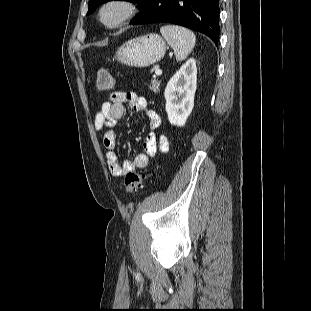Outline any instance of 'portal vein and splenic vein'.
I'll return each mask as SVG.
<instances>
[{"label":"portal vein and splenic vein","mask_w":311,"mask_h":311,"mask_svg":"<svg viewBox=\"0 0 311 311\" xmlns=\"http://www.w3.org/2000/svg\"><path fill=\"white\" fill-rule=\"evenodd\" d=\"M155 74L156 75H161L162 74V70L161 69H156L155 70Z\"/></svg>","instance_id":"obj_1"}]
</instances>
